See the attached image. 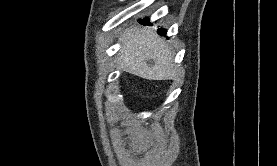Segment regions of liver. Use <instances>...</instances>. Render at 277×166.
Masks as SVG:
<instances>
[{"mask_svg":"<svg viewBox=\"0 0 277 166\" xmlns=\"http://www.w3.org/2000/svg\"><path fill=\"white\" fill-rule=\"evenodd\" d=\"M120 41L119 64L124 71L148 80L170 79L178 72L167 43L149 28L133 27ZM149 60L154 62L152 67L147 64Z\"/></svg>","mask_w":277,"mask_h":166,"instance_id":"6515ba94","label":"liver"}]
</instances>
